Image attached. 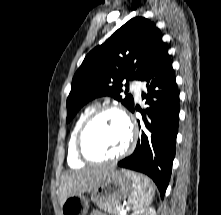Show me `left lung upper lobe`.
<instances>
[{
  "mask_svg": "<svg viewBox=\"0 0 221 215\" xmlns=\"http://www.w3.org/2000/svg\"><path fill=\"white\" fill-rule=\"evenodd\" d=\"M165 46L162 34L153 22L135 17L120 27L102 45L85 57L72 80L67 98V122L90 100L111 96L130 111L134 107L132 95L122 97L123 83L141 80L159 50Z\"/></svg>",
  "mask_w": 221,
  "mask_h": 215,
  "instance_id": "obj_1",
  "label": "left lung upper lobe"
}]
</instances>
